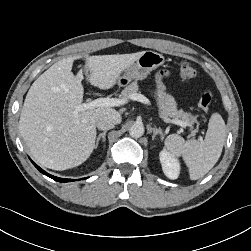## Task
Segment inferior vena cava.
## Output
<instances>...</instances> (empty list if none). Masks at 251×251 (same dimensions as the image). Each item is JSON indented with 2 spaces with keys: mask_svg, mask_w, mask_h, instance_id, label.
<instances>
[{
  "mask_svg": "<svg viewBox=\"0 0 251 251\" xmlns=\"http://www.w3.org/2000/svg\"><path fill=\"white\" fill-rule=\"evenodd\" d=\"M116 122L107 115L101 116L96 120V126L99 130H109L114 128Z\"/></svg>",
  "mask_w": 251,
  "mask_h": 251,
  "instance_id": "obj_1",
  "label": "inferior vena cava"
}]
</instances>
